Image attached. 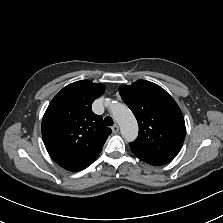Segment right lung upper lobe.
I'll use <instances>...</instances> for the list:
<instances>
[{
    "mask_svg": "<svg viewBox=\"0 0 223 223\" xmlns=\"http://www.w3.org/2000/svg\"><path fill=\"white\" fill-rule=\"evenodd\" d=\"M105 91L89 80L64 87L49 104L42 120V137L51 158L69 171L88 167L111 134L102 117L92 112L93 101Z\"/></svg>",
    "mask_w": 223,
    "mask_h": 223,
    "instance_id": "1",
    "label": "right lung upper lobe"
}]
</instances>
